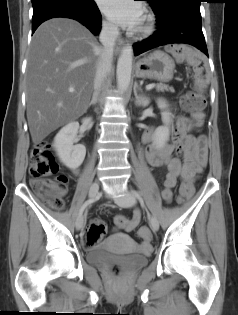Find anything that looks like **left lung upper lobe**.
<instances>
[{
	"instance_id": "obj_1",
	"label": "left lung upper lobe",
	"mask_w": 238,
	"mask_h": 315,
	"mask_svg": "<svg viewBox=\"0 0 238 315\" xmlns=\"http://www.w3.org/2000/svg\"><path fill=\"white\" fill-rule=\"evenodd\" d=\"M150 3L152 9H158L160 8L163 4H166L169 1H173V0H146Z\"/></svg>"
}]
</instances>
